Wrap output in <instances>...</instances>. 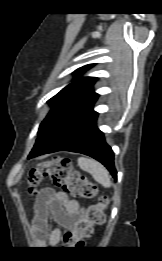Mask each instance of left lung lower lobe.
<instances>
[{
	"instance_id": "left-lung-lower-lobe-1",
	"label": "left lung lower lobe",
	"mask_w": 162,
	"mask_h": 261,
	"mask_svg": "<svg viewBox=\"0 0 162 261\" xmlns=\"http://www.w3.org/2000/svg\"><path fill=\"white\" fill-rule=\"evenodd\" d=\"M97 117L98 115L76 128L45 153L71 151L88 155L101 162L117 179L114 153L105 142L103 132L96 125Z\"/></svg>"
}]
</instances>
